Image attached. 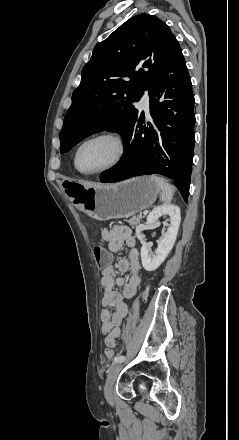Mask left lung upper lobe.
Listing matches in <instances>:
<instances>
[{
	"label": "left lung upper lobe",
	"mask_w": 239,
	"mask_h": 440,
	"mask_svg": "<svg viewBox=\"0 0 239 440\" xmlns=\"http://www.w3.org/2000/svg\"><path fill=\"white\" fill-rule=\"evenodd\" d=\"M177 43L163 21L147 14L133 16L98 43L72 94L60 152L98 131L123 135L140 114L132 102L150 88Z\"/></svg>",
	"instance_id": "5c2ea615"
}]
</instances>
